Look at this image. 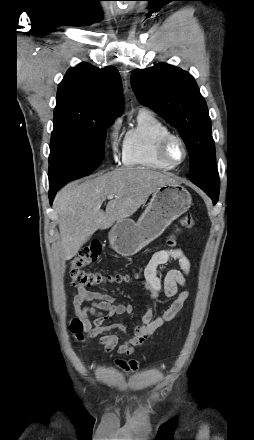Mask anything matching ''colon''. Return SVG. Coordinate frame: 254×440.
<instances>
[{"label":"colon","mask_w":254,"mask_h":440,"mask_svg":"<svg viewBox=\"0 0 254 440\" xmlns=\"http://www.w3.org/2000/svg\"><path fill=\"white\" fill-rule=\"evenodd\" d=\"M181 226L186 229L193 228L194 217L191 214L184 215L181 220ZM167 243L170 248H174L176 245V238L174 236L170 237ZM101 254L102 245L98 242H94L85 246L76 254L71 262L70 267V277L72 283L75 286L86 288L94 287L103 283L107 278L117 282L126 280L127 277L122 275L106 276L102 272L85 270V267L97 261L100 258ZM69 327L74 338L77 341H81L83 339L84 330L83 322L78 318H74L70 321ZM125 364L130 370H134L135 368H137L136 364Z\"/></svg>","instance_id":"obj_1"}]
</instances>
